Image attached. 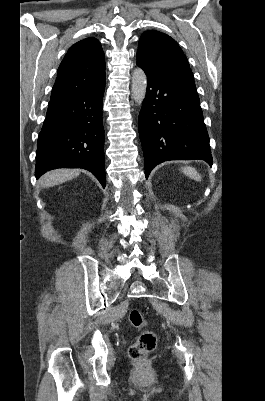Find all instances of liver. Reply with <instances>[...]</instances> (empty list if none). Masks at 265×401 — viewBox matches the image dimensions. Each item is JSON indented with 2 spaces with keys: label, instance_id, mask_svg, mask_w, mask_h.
<instances>
[{
  "label": "liver",
  "instance_id": "liver-1",
  "mask_svg": "<svg viewBox=\"0 0 265 401\" xmlns=\"http://www.w3.org/2000/svg\"><path fill=\"white\" fill-rule=\"evenodd\" d=\"M79 168H57V170H50L46 172L42 178H40V184L43 188H48V186H55V184H62V182H67L75 176H79Z\"/></svg>",
  "mask_w": 265,
  "mask_h": 401
}]
</instances>
